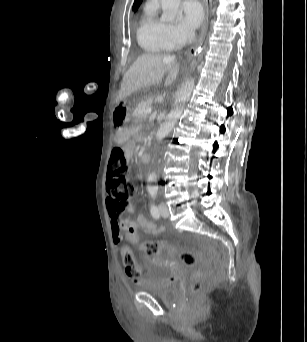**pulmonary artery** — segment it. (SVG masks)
I'll use <instances>...</instances> for the list:
<instances>
[{
	"mask_svg": "<svg viewBox=\"0 0 307 342\" xmlns=\"http://www.w3.org/2000/svg\"><path fill=\"white\" fill-rule=\"evenodd\" d=\"M146 16L152 17L153 16V9L152 8H147L145 11Z\"/></svg>",
	"mask_w": 307,
	"mask_h": 342,
	"instance_id": "e3ab8cb5",
	"label": "pulmonary artery"
}]
</instances>
